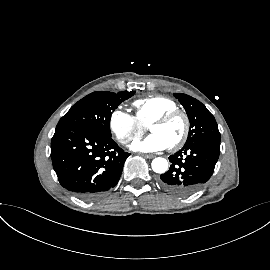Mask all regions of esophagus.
<instances>
[{"mask_svg": "<svg viewBox=\"0 0 270 270\" xmlns=\"http://www.w3.org/2000/svg\"><path fill=\"white\" fill-rule=\"evenodd\" d=\"M142 156H144L147 159H152L155 157L153 154H142Z\"/></svg>", "mask_w": 270, "mask_h": 270, "instance_id": "obj_1", "label": "esophagus"}]
</instances>
